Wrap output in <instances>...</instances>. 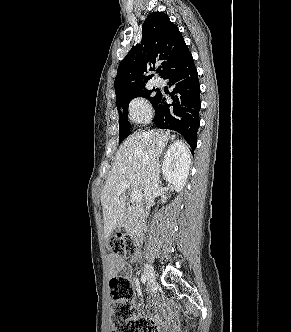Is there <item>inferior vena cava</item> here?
I'll use <instances>...</instances> for the list:
<instances>
[{
	"label": "inferior vena cava",
	"mask_w": 291,
	"mask_h": 332,
	"mask_svg": "<svg viewBox=\"0 0 291 332\" xmlns=\"http://www.w3.org/2000/svg\"><path fill=\"white\" fill-rule=\"evenodd\" d=\"M160 180V164L159 158L154 154L150 153V161L145 177V188H144V198L146 203V211L144 213L148 214L151 206L154 203L155 196L158 191Z\"/></svg>",
	"instance_id": "1"
}]
</instances>
